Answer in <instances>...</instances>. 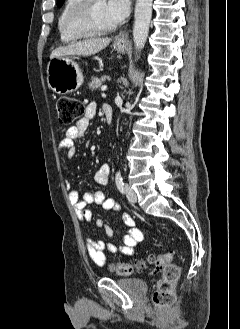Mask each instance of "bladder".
<instances>
[{
  "label": "bladder",
  "instance_id": "1",
  "mask_svg": "<svg viewBox=\"0 0 240 329\" xmlns=\"http://www.w3.org/2000/svg\"><path fill=\"white\" fill-rule=\"evenodd\" d=\"M115 281L121 287L138 295L144 294L147 290V284L141 278L136 277H119Z\"/></svg>",
  "mask_w": 240,
  "mask_h": 329
}]
</instances>
